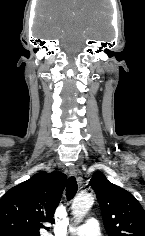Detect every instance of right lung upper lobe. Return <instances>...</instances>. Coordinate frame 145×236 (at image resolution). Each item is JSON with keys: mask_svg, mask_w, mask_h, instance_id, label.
Instances as JSON below:
<instances>
[{"mask_svg": "<svg viewBox=\"0 0 145 236\" xmlns=\"http://www.w3.org/2000/svg\"><path fill=\"white\" fill-rule=\"evenodd\" d=\"M66 175L45 171L11 188L0 199V236H39L44 223H54Z\"/></svg>", "mask_w": 145, "mask_h": 236, "instance_id": "obj_1", "label": "right lung upper lobe"}]
</instances>
